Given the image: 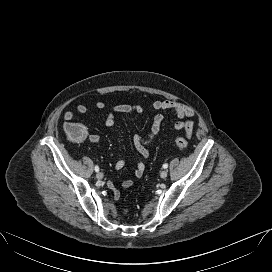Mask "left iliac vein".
Returning <instances> with one entry per match:
<instances>
[{
  "label": "left iliac vein",
  "instance_id": "left-iliac-vein-1",
  "mask_svg": "<svg viewBox=\"0 0 272 272\" xmlns=\"http://www.w3.org/2000/svg\"><path fill=\"white\" fill-rule=\"evenodd\" d=\"M167 175H168V173H167L166 170H163V171L160 173L161 178H166Z\"/></svg>",
  "mask_w": 272,
  "mask_h": 272
}]
</instances>
